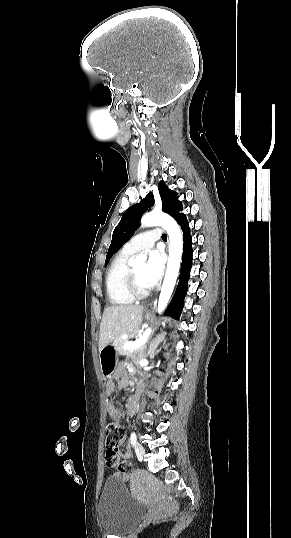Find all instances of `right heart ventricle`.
<instances>
[{
	"mask_svg": "<svg viewBox=\"0 0 291 538\" xmlns=\"http://www.w3.org/2000/svg\"><path fill=\"white\" fill-rule=\"evenodd\" d=\"M132 255V252L123 248L111 261L106 277V291L111 304L128 305L135 300L126 287V277L130 268L129 259Z\"/></svg>",
	"mask_w": 291,
	"mask_h": 538,
	"instance_id": "e07e8e85",
	"label": "right heart ventricle"
}]
</instances>
